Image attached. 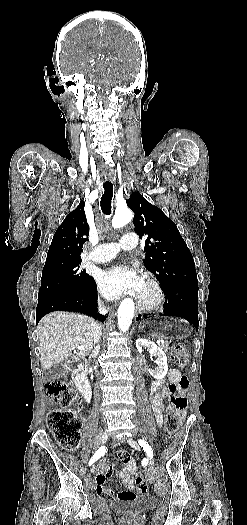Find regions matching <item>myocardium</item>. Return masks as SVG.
<instances>
[{
    "mask_svg": "<svg viewBox=\"0 0 247 525\" xmlns=\"http://www.w3.org/2000/svg\"><path fill=\"white\" fill-rule=\"evenodd\" d=\"M142 277L144 279L149 280L152 286L154 287L155 297L152 299H145L141 297L137 303V306L143 310H152L162 303L164 299V292L159 281L152 273L145 272L143 273Z\"/></svg>",
    "mask_w": 247,
    "mask_h": 525,
    "instance_id": "1",
    "label": "myocardium"
}]
</instances>
